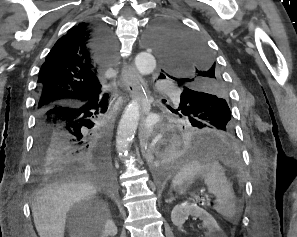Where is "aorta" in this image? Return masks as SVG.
<instances>
[{
    "mask_svg": "<svg viewBox=\"0 0 297 237\" xmlns=\"http://www.w3.org/2000/svg\"><path fill=\"white\" fill-rule=\"evenodd\" d=\"M149 44L153 45L150 39ZM135 66L141 75H148L156 68V60L151 53L141 52L135 58ZM139 108L138 100L131 101L120 120L116 138V148L120 157H123L129 149L135 134L140 117Z\"/></svg>",
    "mask_w": 297,
    "mask_h": 237,
    "instance_id": "762f6f07",
    "label": "aorta"
}]
</instances>
